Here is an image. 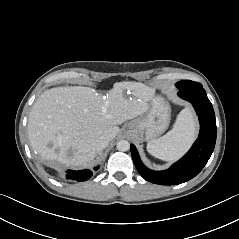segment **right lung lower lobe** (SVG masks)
I'll return each instance as SVG.
<instances>
[{"mask_svg":"<svg viewBox=\"0 0 239 239\" xmlns=\"http://www.w3.org/2000/svg\"><path fill=\"white\" fill-rule=\"evenodd\" d=\"M98 167L95 168L97 170ZM69 175H67V178L74 179L77 181H85L88 180L92 176V171L90 170H82V171H68Z\"/></svg>","mask_w":239,"mask_h":239,"instance_id":"98d812e1","label":"right lung lower lobe"}]
</instances>
